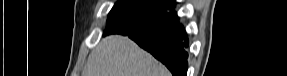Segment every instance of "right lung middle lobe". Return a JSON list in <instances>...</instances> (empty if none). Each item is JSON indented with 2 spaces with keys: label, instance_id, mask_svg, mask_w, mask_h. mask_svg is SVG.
Returning <instances> with one entry per match:
<instances>
[{
  "label": "right lung middle lobe",
  "instance_id": "1",
  "mask_svg": "<svg viewBox=\"0 0 287 76\" xmlns=\"http://www.w3.org/2000/svg\"><path fill=\"white\" fill-rule=\"evenodd\" d=\"M173 7V0H118L109 13L104 35L142 32Z\"/></svg>",
  "mask_w": 287,
  "mask_h": 76
}]
</instances>
